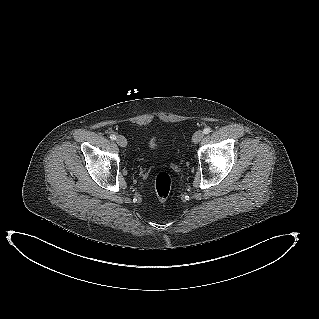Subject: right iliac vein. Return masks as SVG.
Masks as SVG:
<instances>
[{"label":"right iliac vein","instance_id":"obj_1","mask_svg":"<svg viewBox=\"0 0 319 319\" xmlns=\"http://www.w3.org/2000/svg\"><path fill=\"white\" fill-rule=\"evenodd\" d=\"M117 144L120 147H126L127 146V140L124 136H118V138L116 139Z\"/></svg>","mask_w":319,"mask_h":319}]
</instances>
